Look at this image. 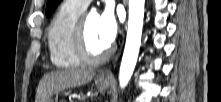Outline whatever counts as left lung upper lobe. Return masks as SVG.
Here are the masks:
<instances>
[{
    "label": "left lung upper lobe",
    "mask_w": 221,
    "mask_h": 102,
    "mask_svg": "<svg viewBox=\"0 0 221 102\" xmlns=\"http://www.w3.org/2000/svg\"><path fill=\"white\" fill-rule=\"evenodd\" d=\"M61 2V0H47V6H46V16L50 17L52 12L55 10V8L58 6V4Z\"/></svg>",
    "instance_id": "left-lung-upper-lobe-1"
}]
</instances>
